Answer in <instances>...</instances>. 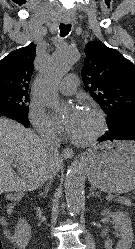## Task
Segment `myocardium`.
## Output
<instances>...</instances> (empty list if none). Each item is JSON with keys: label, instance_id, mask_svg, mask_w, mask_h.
I'll list each match as a JSON object with an SVG mask.
<instances>
[{"label": "myocardium", "instance_id": "f54148a6", "mask_svg": "<svg viewBox=\"0 0 135 249\" xmlns=\"http://www.w3.org/2000/svg\"><path fill=\"white\" fill-rule=\"evenodd\" d=\"M86 109L91 111L95 115L97 119V129L85 139H77L75 137H71L72 142L78 146H86L94 143L105 133L107 128L106 117L102 110L94 105H87Z\"/></svg>", "mask_w": 135, "mask_h": 249}]
</instances>
